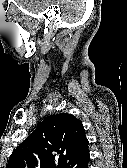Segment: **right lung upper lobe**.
I'll return each mask as SVG.
<instances>
[{"label": "right lung upper lobe", "mask_w": 127, "mask_h": 168, "mask_svg": "<svg viewBox=\"0 0 127 168\" xmlns=\"http://www.w3.org/2000/svg\"><path fill=\"white\" fill-rule=\"evenodd\" d=\"M88 144L79 119L52 115L13 150L7 168H76L89 157Z\"/></svg>", "instance_id": "right-lung-upper-lobe-1"}]
</instances>
